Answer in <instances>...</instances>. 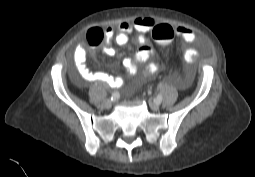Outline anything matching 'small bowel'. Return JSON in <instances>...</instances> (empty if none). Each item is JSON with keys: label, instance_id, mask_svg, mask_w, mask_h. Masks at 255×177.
<instances>
[{"label": "small bowel", "instance_id": "small-bowel-1", "mask_svg": "<svg viewBox=\"0 0 255 177\" xmlns=\"http://www.w3.org/2000/svg\"><path fill=\"white\" fill-rule=\"evenodd\" d=\"M157 22L150 17H137L132 21H123L117 26V33L111 26L106 27L104 32L106 44L103 46V52L107 56H113L114 48L110 45L114 40L119 46L128 43L129 36L137 33L138 49L132 58H125L123 65L127 70L125 76H113L101 71H92L87 65V45L80 43L73 52V61L78 75L87 82H99L111 87H121L129 77L134 76L138 70V64L145 63V67L141 72V79L145 80L160 71L161 66L153 60L156 56L155 51L148 41L147 34L155 27ZM177 37L186 42H194L195 33L188 27L178 26L175 29ZM197 53L193 49H188L183 54V60L186 64H191L196 59Z\"/></svg>", "mask_w": 255, "mask_h": 177}]
</instances>
